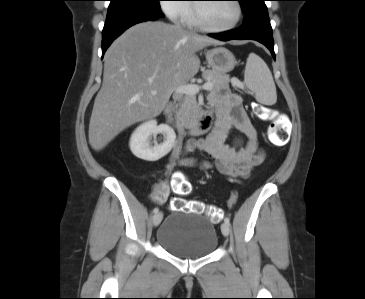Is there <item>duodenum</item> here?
<instances>
[{"label": "duodenum", "instance_id": "1", "mask_svg": "<svg viewBox=\"0 0 365 299\" xmlns=\"http://www.w3.org/2000/svg\"><path fill=\"white\" fill-rule=\"evenodd\" d=\"M164 115L167 123L172 124V115H173V105L169 104L164 111ZM211 117L209 114H202L196 121L191 123L188 126H183L181 124L175 125V129L179 134L182 135H198L205 131H207L211 127Z\"/></svg>", "mask_w": 365, "mask_h": 299}]
</instances>
